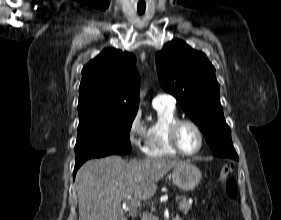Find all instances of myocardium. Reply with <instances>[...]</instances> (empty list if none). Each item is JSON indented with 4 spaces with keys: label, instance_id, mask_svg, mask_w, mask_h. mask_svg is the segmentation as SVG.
I'll return each mask as SVG.
<instances>
[{
    "label": "myocardium",
    "instance_id": "1",
    "mask_svg": "<svg viewBox=\"0 0 281 220\" xmlns=\"http://www.w3.org/2000/svg\"><path fill=\"white\" fill-rule=\"evenodd\" d=\"M183 125L192 126L198 133L199 146L193 152L184 151L179 144L178 133H179V129ZM168 139H169V143L172 146V148L178 154L183 155V156H194V155L198 154L201 151V149L203 147V144H204V134H203V131H202L201 127L195 121L190 120V119H177L176 121H174L169 127Z\"/></svg>",
    "mask_w": 281,
    "mask_h": 220
}]
</instances>
